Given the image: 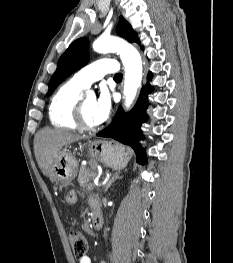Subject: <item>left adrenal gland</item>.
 Masks as SVG:
<instances>
[{"instance_id":"obj_1","label":"left adrenal gland","mask_w":233,"mask_h":263,"mask_svg":"<svg viewBox=\"0 0 233 263\" xmlns=\"http://www.w3.org/2000/svg\"><path fill=\"white\" fill-rule=\"evenodd\" d=\"M120 175V171L115 172L112 174L111 178L108 180L107 184L105 185V189L104 192H107L108 189L110 188V186L118 179H121L122 177L119 176Z\"/></svg>"}]
</instances>
